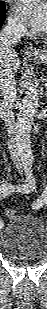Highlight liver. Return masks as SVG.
Wrapping results in <instances>:
<instances>
[{
    "instance_id": "1",
    "label": "liver",
    "mask_w": 47,
    "mask_h": 309,
    "mask_svg": "<svg viewBox=\"0 0 47 309\" xmlns=\"http://www.w3.org/2000/svg\"><path fill=\"white\" fill-rule=\"evenodd\" d=\"M19 67H20V60L16 52L13 50L12 55H10V53L7 52L2 53L0 46V72L3 69H9L15 73L18 71Z\"/></svg>"
}]
</instances>
